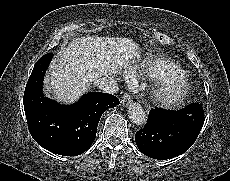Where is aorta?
<instances>
[{"instance_id": "1", "label": "aorta", "mask_w": 230, "mask_h": 181, "mask_svg": "<svg viewBox=\"0 0 230 181\" xmlns=\"http://www.w3.org/2000/svg\"><path fill=\"white\" fill-rule=\"evenodd\" d=\"M128 116L130 121L137 126H144L147 121V116L142 108V106L138 103H131L128 106Z\"/></svg>"}]
</instances>
